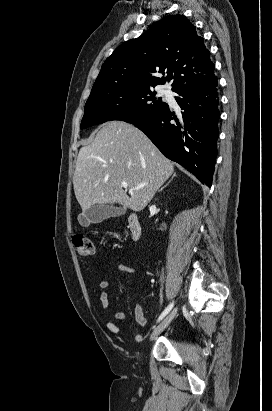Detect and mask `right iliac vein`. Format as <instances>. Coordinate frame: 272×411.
Wrapping results in <instances>:
<instances>
[{
    "label": "right iliac vein",
    "instance_id": "63e3f726",
    "mask_svg": "<svg viewBox=\"0 0 272 411\" xmlns=\"http://www.w3.org/2000/svg\"><path fill=\"white\" fill-rule=\"evenodd\" d=\"M177 313V308H174L163 320L162 322L157 325L150 336V340H153L154 338H156L164 329H166L168 327V325L171 323V321L173 320V318L175 317Z\"/></svg>",
    "mask_w": 272,
    "mask_h": 411
}]
</instances>
